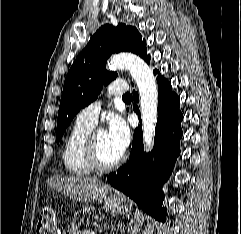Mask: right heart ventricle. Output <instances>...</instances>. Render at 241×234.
Listing matches in <instances>:
<instances>
[{"label":"right heart ventricle","instance_id":"right-heart-ventricle-1","mask_svg":"<svg viewBox=\"0 0 241 234\" xmlns=\"http://www.w3.org/2000/svg\"><path fill=\"white\" fill-rule=\"evenodd\" d=\"M92 128L93 125L76 120L65 138L62 159L72 175L88 176L95 171L86 156L87 138Z\"/></svg>","mask_w":241,"mask_h":234}]
</instances>
